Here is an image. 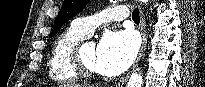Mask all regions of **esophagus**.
Listing matches in <instances>:
<instances>
[{
  "label": "esophagus",
  "mask_w": 205,
  "mask_h": 87,
  "mask_svg": "<svg viewBox=\"0 0 205 87\" xmlns=\"http://www.w3.org/2000/svg\"><path fill=\"white\" fill-rule=\"evenodd\" d=\"M140 9V25H139V28H140V32H141V35H142V44H141V47H140V50H139V53H138V56L132 66V68L130 69V71L126 74L125 77H123L117 84H116V87H122L124 86V84L126 83L127 79L129 78L130 74L132 73V71L134 70V68L137 66L140 58L142 57L143 53H144V50H145V47H146V43H147V33H146V23H145V18H144V13L141 9V7L139 8Z\"/></svg>",
  "instance_id": "esophagus-1"
}]
</instances>
